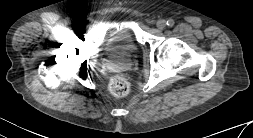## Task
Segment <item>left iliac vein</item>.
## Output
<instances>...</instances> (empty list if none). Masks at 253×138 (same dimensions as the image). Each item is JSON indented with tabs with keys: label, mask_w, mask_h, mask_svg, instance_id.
<instances>
[{
	"label": "left iliac vein",
	"mask_w": 253,
	"mask_h": 138,
	"mask_svg": "<svg viewBox=\"0 0 253 138\" xmlns=\"http://www.w3.org/2000/svg\"><path fill=\"white\" fill-rule=\"evenodd\" d=\"M156 26H157V28L160 29V30L164 29V28L166 27V22H165V20H162V19H161V20H158Z\"/></svg>",
	"instance_id": "1"
}]
</instances>
